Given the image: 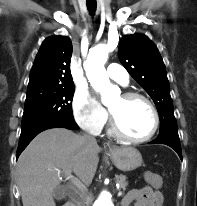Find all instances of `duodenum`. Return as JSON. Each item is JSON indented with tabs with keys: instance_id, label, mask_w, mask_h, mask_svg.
Segmentation results:
<instances>
[{
	"instance_id": "410a0bca",
	"label": "duodenum",
	"mask_w": 197,
	"mask_h": 206,
	"mask_svg": "<svg viewBox=\"0 0 197 206\" xmlns=\"http://www.w3.org/2000/svg\"><path fill=\"white\" fill-rule=\"evenodd\" d=\"M62 206H74V204L72 202H66Z\"/></svg>"
}]
</instances>
